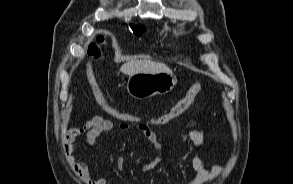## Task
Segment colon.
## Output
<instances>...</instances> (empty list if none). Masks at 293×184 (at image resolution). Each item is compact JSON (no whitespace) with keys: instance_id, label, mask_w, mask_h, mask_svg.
I'll return each mask as SVG.
<instances>
[{"instance_id":"colon-1","label":"colon","mask_w":293,"mask_h":184,"mask_svg":"<svg viewBox=\"0 0 293 184\" xmlns=\"http://www.w3.org/2000/svg\"><path fill=\"white\" fill-rule=\"evenodd\" d=\"M105 42V38L103 36H99L94 42L89 44L87 49L88 60L86 63V78L97 102L104 108L105 111L119 119L142 122L152 125L166 124L184 113L192 105L199 93L203 90V86L200 83L192 85L187 93L181 99H179L167 112L154 118H147L136 113L118 110L108 103L95 79L93 72L94 62L100 58Z\"/></svg>"}]
</instances>
